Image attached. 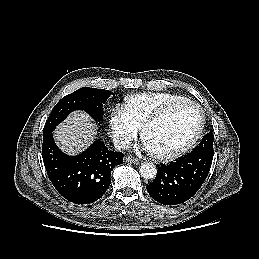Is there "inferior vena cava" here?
<instances>
[{"instance_id":"obj_1","label":"inferior vena cava","mask_w":259,"mask_h":259,"mask_svg":"<svg viewBox=\"0 0 259 259\" xmlns=\"http://www.w3.org/2000/svg\"><path fill=\"white\" fill-rule=\"evenodd\" d=\"M114 146L118 150H125L129 148V141L127 139H115Z\"/></svg>"}]
</instances>
